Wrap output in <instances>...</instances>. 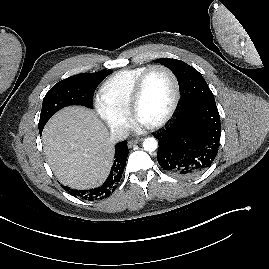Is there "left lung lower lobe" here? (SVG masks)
Wrapping results in <instances>:
<instances>
[{
    "instance_id": "left-lung-lower-lobe-1",
    "label": "left lung lower lobe",
    "mask_w": 269,
    "mask_h": 269,
    "mask_svg": "<svg viewBox=\"0 0 269 269\" xmlns=\"http://www.w3.org/2000/svg\"><path fill=\"white\" fill-rule=\"evenodd\" d=\"M216 103H194L180 110L170 127L155 134L158 163L178 178H193L208 169L220 145Z\"/></svg>"
}]
</instances>
